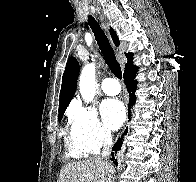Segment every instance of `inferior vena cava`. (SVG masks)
<instances>
[{
    "label": "inferior vena cava",
    "instance_id": "602c4592",
    "mask_svg": "<svg viewBox=\"0 0 196 182\" xmlns=\"http://www.w3.org/2000/svg\"><path fill=\"white\" fill-rule=\"evenodd\" d=\"M102 153L97 159L106 158L110 155V149L112 146V136L109 131H105L102 135Z\"/></svg>",
    "mask_w": 196,
    "mask_h": 182
}]
</instances>
